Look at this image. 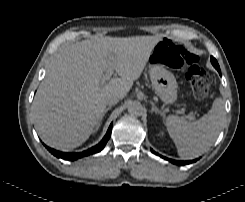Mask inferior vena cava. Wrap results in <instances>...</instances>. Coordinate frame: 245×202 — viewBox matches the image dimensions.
I'll return each mask as SVG.
<instances>
[{
  "label": "inferior vena cava",
  "instance_id": "602c4592",
  "mask_svg": "<svg viewBox=\"0 0 245 202\" xmlns=\"http://www.w3.org/2000/svg\"><path fill=\"white\" fill-rule=\"evenodd\" d=\"M122 98V95L118 92H112L110 94L107 95L106 97V104L108 105H114L116 104L117 102H119V100Z\"/></svg>",
  "mask_w": 245,
  "mask_h": 202
}]
</instances>
